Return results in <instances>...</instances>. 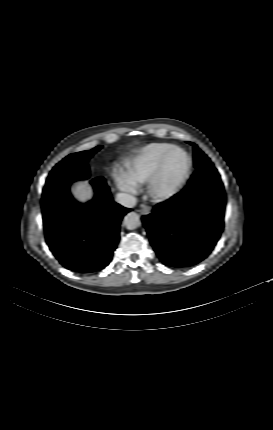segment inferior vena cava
Instances as JSON below:
<instances>
[{
	"mask_svg": "<svg viewBox=\"0 0 273 430\" xmlns=\"http://www.w3.org/2000/svg\"><path fill=\"white\" fill-rule=\"evenodd\" d=\"M115 200L127 208H133L137 202V199L134 196L126 193H118Z\"/></svg>",
	"mask_w": 273,
	"mask_h": 430,
	"instance_id": "1",
	"label": "inferior vena cava"
}]
</instances>
